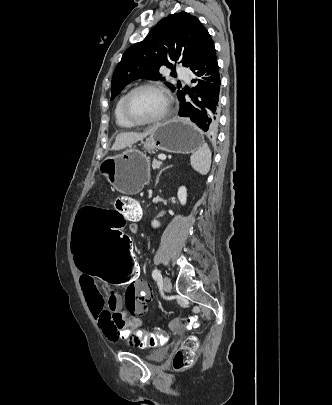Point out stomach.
Masks as SVG:
<instances>
[{"label":"stomach","instance_id":"0dacf381","mask_svg":"<svg viewBox=\"0 0 332 405\" xmlns=\"http://www.w3.org/2000/svg\"><path fill=\"white\" fill-rule=\"evenodd\" d=\"M201 130L187 119H173L156 127L146 138L144 148L149 153L163 150L170 153H194L203 144ZM99 171L121 193L137 194L150 178L149 160L136 149L105 158Z\"/></svg>","mask_w":332,"mask_h":405}]
</instances>
